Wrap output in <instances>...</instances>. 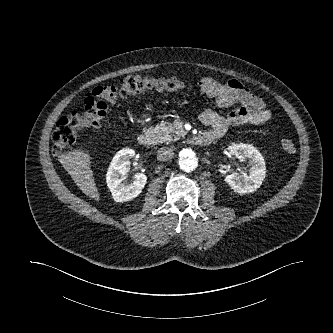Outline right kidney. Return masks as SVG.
Instances as JSON below:
<instances>
[{
	"label": "right kidney",
	"instance_id": "1",
	"mask_svg": "<svg viewBox=\"0 0 333 333\" xmlns=\"http://www.w3.org/2000/svg\"><path fill=\"white\" fill-rule=\"evenodd\" d=\"M135 156V151L125 148L113 157L106 174L107 186L116 202H125L136 198L144 188L147 176L137 173L131 182L126 181V174L130 170L129 159Z\"/></svg>",
	"mask_w": 333,
	"mask_h": 333
}]
</instances>
